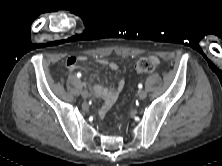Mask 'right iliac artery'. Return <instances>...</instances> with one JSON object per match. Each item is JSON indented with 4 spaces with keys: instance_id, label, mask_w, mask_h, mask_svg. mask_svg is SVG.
<instances>
[{
    "instance_id": "obj_1",
    "label": "right iliac artery",
    "mask_w": 222,
    "mask_h": 166,
    "mask_svg": "<svg viewBox=\"0 0 222 166\" xmlns=\"http://www.w3.org/2000/svg\"><path fill=\"white\" fill-rule=\"evenodd\" d=\"M77 77L80 78L81 77V73H77Z\"/></svg>"
}]
</instances>
